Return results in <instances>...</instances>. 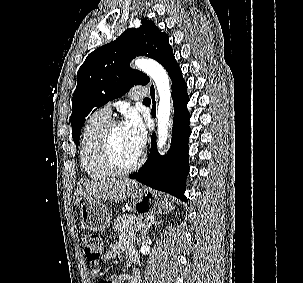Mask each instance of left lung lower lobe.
<instances>
[{"label": "left lung lower lobe", "instance_id": "1", "mask_svg": "<svg viewBox=\"0 0 303 283\" xmlns=\"http://www.w3.org/2000/svg\"><path fill=\"white\" fill-rule=\"evenodd\" d=\"M172 80V98L174 106V120L172 128L171 147L167 154L160 156L156 148L155 133L151 137V150L146 163L138 172L130 175L131 179L150 186L154 189L167 192L182 201H187L184 196L186 190V177L189 173L188 140L190 136L187 103V84L182 78V72L175 58L166 68ZM154 100V88L150 91ZM155 101L152 115L155 117Z\"/></svg>", "mask_w": 303, "mask_h": 283}]
</instances>
